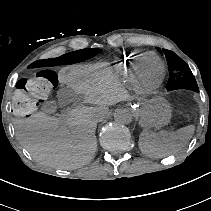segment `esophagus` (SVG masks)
Instances as JSON below:
<instances>
[{
    "instance_id": "34e87169",
    "label": "esophagus",
    "mask_w": 211,
    "mask_h": 211,
    "mask_svg": "<svg viewBox=\"0 0 211 211\" xmlns=\"http://www.w3.org/2000/svg\"><path fill=\"white\" fill-rule=\"evenodd\" d=\"M125 107L128 110L136 111V112H139L142 109L141 103H139V102H131V101L126 102Z\"/></svg>"
}]
</instances>
